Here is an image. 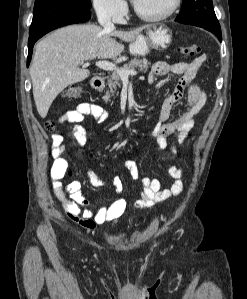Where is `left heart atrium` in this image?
<instances>
[{
	"label": "left heart atrium",
	"instance_id": "left-heart-atrium-1",
	"mask_svg": "<svg viewBox=\"0 0 247 299\" xmlns=\"http://www.w3.org/2000/svg\"><path fill=\"white\" fill-rule=\"evenodd\" d=\"M134 3H136L137 2V0H132Z\"/></svg>",
	"mask_w": 247,
	"mask_h": 299
}]
</instances>
